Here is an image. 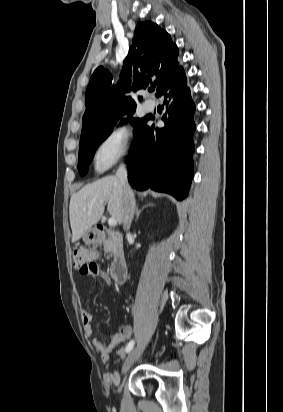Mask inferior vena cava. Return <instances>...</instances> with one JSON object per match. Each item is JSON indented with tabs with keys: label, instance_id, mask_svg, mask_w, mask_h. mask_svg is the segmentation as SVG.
I'll return each mask as SVG.
<instances>
[{
	"label": "inferior vena cava",
	"instance_id": "inferior-vena-cava-1",
	"mask_svg": "<svg viewBox=\"0 0 283 412\" xmlns=\"http://www.w3.org/2000/svg\"><path fill=\"white\" fill-rule=\"evenodd\" d=\"M127 173L126 165L122 164L116 172V177L119 179L120 184L123 187V227L128 230L134 217L135 199L128 184Z\"/></svg>",
	"mask_w": 283,
	"mask_h": 412
}]
</instances>
